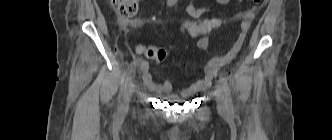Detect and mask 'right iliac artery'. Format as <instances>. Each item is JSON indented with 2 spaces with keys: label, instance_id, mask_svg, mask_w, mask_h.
<instances>
[{
  "label": "right iliac artery",
  "instance_id": "1",
  "mask_svg": "<svg viewBox=\"0 0 332 140\" xmlns=\"http://www.w3.org/2000/svg\"><path fill=\"white\" fill-rule=\"evenodd\" d=\"M176 2H177V0H168L167 5L173 6ZM138 62H139V59H136L128 66L126 73L124 74V76L121 79V85L125 84L126 80L128 79L129 75L132 73L133 69L138 65Z\"/></svg>",
  "mask_w": 332,
  "mask_h": 140
}]
</instances>
